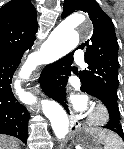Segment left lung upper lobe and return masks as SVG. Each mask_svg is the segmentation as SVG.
Wrapping results in <instances>:
<instances>
[{
	"label": "left lung upper lobe",
	"mask_w": 124,
	"mask_h": 149,
	"mask_svg": "<svg viewBox=\"0 0 124 149\" xmlns=\"http://www.w3.org/2000/svg\"><path fill=\"white\" fill-rule=\"evenodd\" d=\"M75 11L88 13L93 32L90 38L78 48L86 46L87 69L79 72L82 84L109 93L117 100L118 88V42L110 17L94 0H65L62 18Z\"/></svg>",
	"instance_id": "1"
}]
</instances>
